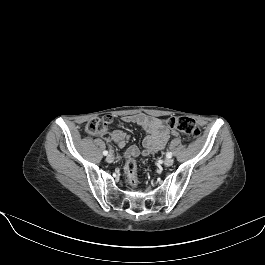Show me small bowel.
Here are the masks:
<instances>
[{"instance_id":"1","label":"small bowel","mask_w":265,"mask_h":265,"mask_svg":"<svg viewBox=\"0 0 265 265\" xmlns=\"http://www.w3.org/2000/svg\"><path fill=\"white\" fill-rule=\"evenodd\" d=\"M123 123L137 124L146 132V137L142 142V149L137 146H129L125 151L126 157L147 156L151 153L162 150L170 136H179L177 130H170L164 125V120L161 118L148 116L143 113L125 115L121 118ZM108 140L113 141L119 148H125L129 141V136L122 129H115L112 132L102 134Z\"/></svg>"}]
</instances>
